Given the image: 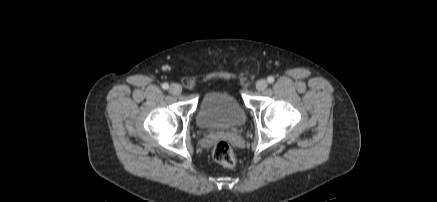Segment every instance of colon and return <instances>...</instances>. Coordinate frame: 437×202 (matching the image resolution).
<instances>
[{
    "mask_svg": "<svg viewBox=\"0 0 437 202\" xmlns=\"http://www.w3.org/2000/svg\"><path fill=\"white\" fill-rule=\"evenodd\" d=\"M214 160L228 168H233L236 165V157L232 147L225 141H221L215 145L212 152Z\"/></svg>",
    "mask_w": 437,
    "mask_h": 202,
    "instance_id": "colon-1",
    "label": "colon"
}]
</instances>
